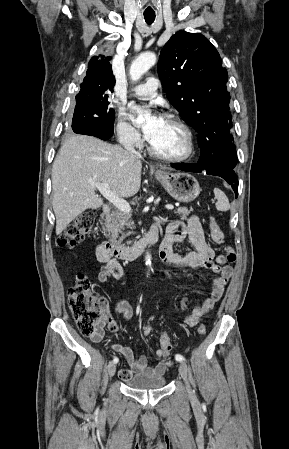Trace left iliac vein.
<instances>
[{"mask_svg": "<svg viewBox=\"0 0 289 449\" xmlns=\"http://www.w3.org/2000/svg\"><path fill=\"white\" fill-rule=\"evenodd\" d=\"M188 370L189 369H188L187 364L184 363V362H181L180 365H179V373H180L181 377L183 378V380L186 383V387H187L188 393L192 394V390H191V387H190V384H189V381H188Z\"/></svg>", "mask_w": 289, "mask_h": 449, "instance_id": "1", "label": "left iliac vein"}]
</instances>
